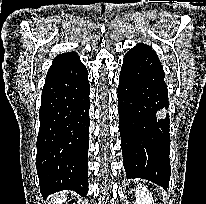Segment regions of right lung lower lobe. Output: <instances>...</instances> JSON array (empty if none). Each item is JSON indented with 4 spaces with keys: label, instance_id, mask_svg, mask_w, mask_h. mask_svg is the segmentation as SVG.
Masks as SVG:
<instances>
[{
    "label": "right lung lower lobe",
    "instance_id": "1",
    "mask_svg": "<svg viewBox=\"0 0 206 204\" xmlns=\"http://www.w3.org/2000/svg\"><path fill=\"white\" fill-rule=\"evenodd\" d=\"M89 94L88 72L80 60L47 73L36 156L44 198L60 190L88 192Z\"/></svg>",
    "mask_w": 206,
    "mask_h": 204
}]
</instances>
